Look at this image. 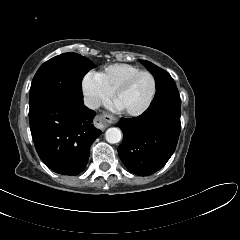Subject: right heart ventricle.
Listing matches in <instances>:
<instances>
[{"label":"right heart ventricle","mask_w":240,"mask_h":240,"mask_svg":"<svg viewBox=\"0 0 240 240\" xmlns=\"http://www.w3.org/2000/svg\"><path fill=\"white\" fill-rule=\"evenodd\" d=\"M141 70L136 65L113 64L105 67L97 75L110 91L115 92L124 81Z\"/></svg>","instance_id":"obj_1"}]
</instances>
